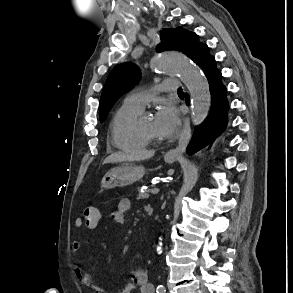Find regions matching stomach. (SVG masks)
Masks as SVG:
<instances>
[{"label": "stomach", "mask_w": 293, "mask_h": 293, "mask_svg": "<svg viewBox=\"0 0 293 293\" xmlns=\"http://www.w3.org/2000/svg\"><path fill=\"white\" fill-rule=\"evenodd\" d=\"M176 157L165 156L167 163H173ZM145 174V169L142 166H136L131 163H125L119 167L108 171L101 180V188L103 190L112 189L115 187H124L139 181Z\"/></svg>", "instance_id": "0dacf381"}]
</instances>
